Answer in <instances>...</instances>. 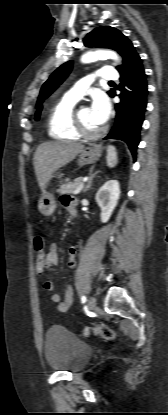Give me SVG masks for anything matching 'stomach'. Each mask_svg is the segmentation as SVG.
<instances>
[{
	"instance_id": "1",
	"label": "stomach",
	"mask_w": 168,
	"mask_h": 415,
	"mask_svg": "<svg viewBox=\"0 0 168 415\" xmlns=\"http://www.w3.org/2000/svg\"><path fill=\"white\" fill-rule=\"evenodd\" d=\"M101 155V149L97 146L84 147L79 153L78 164L80 166L95 163ZM56 209L54 196L46 191H42V195L38 202V210L44 216H51Z\"/></svg>"
}]
</instances>
